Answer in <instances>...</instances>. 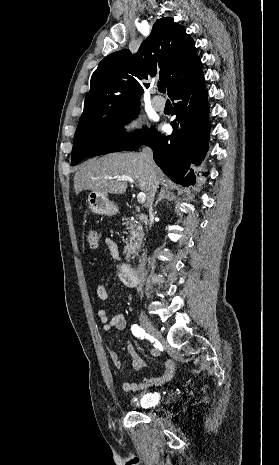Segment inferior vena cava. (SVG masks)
<instances>
[{
	"label": "inferior vena cava",
	"instance_id": "602c4592",
	"mask_svg": "<svg viewBox=\"0 0 279 465\" xmlns=\"http://www.w3.org/2000/svg\"><path fill=\"white\" fill-rule=\"evenodd\" d=\"M141 156L145 161V166L149 169V172H150L151 192L148 198V203H149V215L150 217H152L153 216L152 204L154 201L155 193L158 188V181H157V176H156V165L153 160V151L149 147H144L142 149ZM137 275L140 280L139 286L137 287V291L141 292L142 291V280L145 275V259H143L140 265L138 266Z\"/></svg>",
	"mask_w": 279,
	"mask_h": 465
}]
</instances>
